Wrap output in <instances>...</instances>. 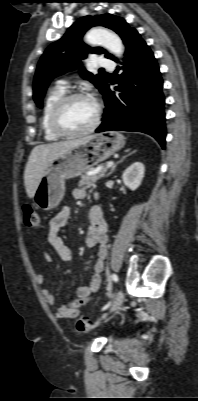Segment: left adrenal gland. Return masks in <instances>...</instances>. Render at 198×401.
<instances>
[{"instance_id": "left-adrenal-gland-1", "label": "left adrenal gland", "mask_w": 198, "mask_h": 401, "mask_svg": "<svg viewBox=\"0 0 198 401\" xmlns=\"http://www.w3.org/2000/svg\"><path fill=\"white\" fill-rule=\"evenodd\" d=\"M134 153H136V150H134V151L128 153V154L125 155L120 161H118V162L112 167L111 171L107 174V177L110 176V175L115 171V169H116V167H117V165H118L119 163L123 162L127 157H129L130 155H132V154H134Z\"/></svg>"}]
</instances>
